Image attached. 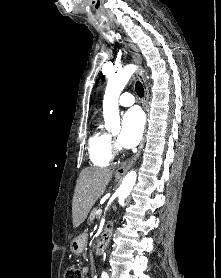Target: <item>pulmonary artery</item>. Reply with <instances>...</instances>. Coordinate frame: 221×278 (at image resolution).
Masks as SVG:
<instances>
[{
	"mask_svg": "<svg viewBox=\"0 0 221 278\" xmlns=\"http://www.w3.org/2000/svg\"><path fill=\"white\" fill-rule=\"evenodd\" d=\"M119 104L124 107L131 106L135 103V98L130 93H123L118 100Z\"/></svg>",
	"mask_w": 221,
	"mask_h": 278,
	"instance_id": "pulmonary-artery-1",
	"label": "pulmonary artery"
}]
</instances>
